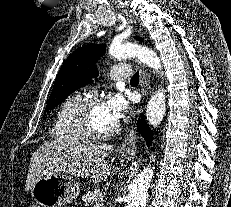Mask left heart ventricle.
<instances>
[{"instance_id": "1", "label": "left heart ventricle", "mask_w": 231, "mask_h": 207, "mask_svg": "<svg viewBox=\"0 0 231 207\" xmlns=\"http://www.w3.org/2000/svg\"><path fill=\"white\" fill-rule=\"evenodd\" d=\"M88 121L90 126L97 132H106L116 125L107 114L103 103H98L90 109Z\"/></svg>"}]
</instances>
